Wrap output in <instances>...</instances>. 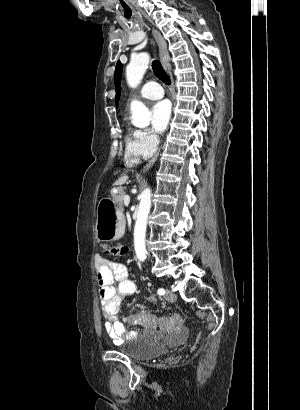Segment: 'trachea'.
<instances>
[{"label":"trachea","mask_w":300,"mask_h":410,"mask_svg":"<svg viewBox=\"0 0 300 410\" xmlns=\"http://www.w3.org/2000/svg\"><path fill=\"white\" fill-rule=\"evenodd\" d=\"M152 70L154 72V74L156 75V77L161 80L162 82H164L166 85H170L171 84V80L170 77L166 74V72L164 71L161 62L159 60H153L152 61Z\"/></svg>","instance_id":"obj_1"}]
</instances>
